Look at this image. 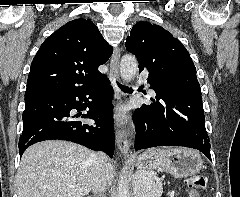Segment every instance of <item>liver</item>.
<instances>
[{
    "label": "liver",
    "instance_id": "6515ba94",
    "mask_svg": "<svg viewBox=\"0 0 240 197\" xmlns=\"http://www.w3.org/2000/svg\"><path fill=\"white\" fill-rule=\"evenodd\" d=\"M93 154L82 145L62 140L30 146L16 175L18 197H84L92 190L96 169ZM107 174L111 184L115 169L110 163Z\"/></svg>",
    "mask_w": 240,
    "mask_h": 197
}]
</instances>
